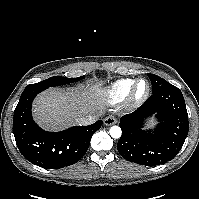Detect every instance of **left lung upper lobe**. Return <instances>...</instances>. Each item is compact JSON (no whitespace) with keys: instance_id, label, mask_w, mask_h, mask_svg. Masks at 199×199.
I'll return each instance as SVG.
<instances>
[{"instance_id":"1","label":"left lung upper lobe","mask_w":199,"mask_h":199,"mask_svg":"<svg viewBox=\"0 0 199 199\" xmlns=\"http://www.w3.org/2000/svg\"><path fill=\"white\" fill-rule=\"evenodd\" d=\"M152 83V94L162 93L169 90H174L177 87L173 86L163 78L155 74H147Z\"/></svg>"}]
</instances>
